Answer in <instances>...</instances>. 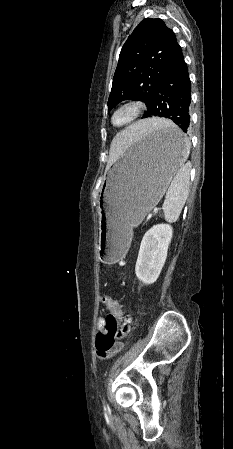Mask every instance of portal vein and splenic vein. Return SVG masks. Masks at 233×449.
Wrapping results in <instances>:
<instances>
[{"instance_id":"portal-vein-and-splenic-vein-1","label":"portal vein and splenic vein","mask_w":233,"mask_h":449,"mask_svg":"<svg viewBox=\"0 0 233 449\" xmlns=\"http://www.w3.org/2000/svg\"><path fill=\"white\" fill-rule=\"evenodd\" d=\"M158 211H159V208H158V207H155V208L153 209V213H154V214H156Z\"/></svg>"}]
</instances>
